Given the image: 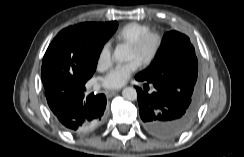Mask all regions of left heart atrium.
Listing matches in <instances>:
<instances>
[{
	"label": "left heart atrium",
	"mask_w": 244,
	"mask_h": 157,
	"mask_svg": "<svg viewBox=\"0 0 244 157\" xmlns=\"http://www.w3.org/2000/svg\"><path fill=\"white\" fill-rule=\"evenodd\" d=\"M139 66L140 62L135 59H131L125 64L115 66L103 78V86L109 90L123 87L129 78L138 70Z\"/></svg>",
	"instance_id": "39dd6f15"
}]
</instances>
